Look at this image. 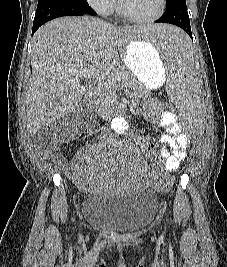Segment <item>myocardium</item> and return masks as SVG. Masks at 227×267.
<instances>
[{
    "mask_svg": "<svg viewBox=\"0 0 227 267\" xmlns=\"http://www.w3.org/2000/svg\"><path fill=\"white\" fill-rule=\"evenodd\" d=\"M166 9V0H159V8L158 11L148 18H139L128 14L122 6L121 0H117V13L118 15L123 18L124 20L131 22V23H138V24H146L152 23L158 20L165 12Z\"/></svg>",
    "mask_w": 227,
    "mask_h": 267,
    "instance_id": "myocardium-1",
    "label": "myocardium"
}]
</instances>
